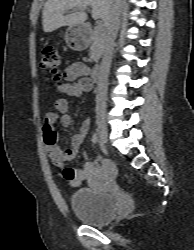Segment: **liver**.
<instances>
[{"label":"liver","mask_w":194,"mask_h":250,"mask_svg":"<svg viewBox=\"0 0 194 250\" xmlns=\"http://www.w3.org/2000/svg\"><path fill=\"white\" fill-rule=\"evenodd\" d=\"M113 0H47L44 9L42 24L44 32H52L62 26H75L83 24L87 14L82 10L92 7V17L102 19L106 25ZM68 10H79L64 16Z\"/></svg>","instance_id":"6515ba94"}]
</instances>
